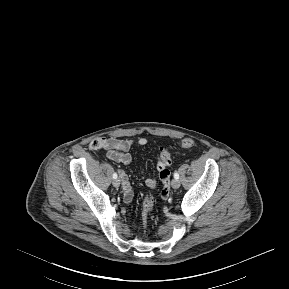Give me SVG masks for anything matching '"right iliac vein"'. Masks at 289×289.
Here are the masks:
<instances>
[{
	"instance_id": "right-iliac-vein-1",
	"label": "right iliac vein",
	"mask_w": 289,
	"mask_h": 289,
	"mask_svg": "<svg viewBox=\"0 0 289 289\" xmlns=\"http://www.w3.org/2000/svg\"><path fill=\"white\" fill-rule=\"evenodd\" d=\"M112 184L114 187H119L120 186V179H118V178L114 179Z\"/></svg>"
}]
</instances>
